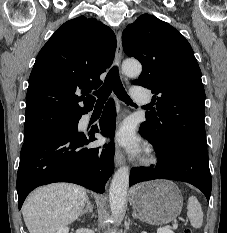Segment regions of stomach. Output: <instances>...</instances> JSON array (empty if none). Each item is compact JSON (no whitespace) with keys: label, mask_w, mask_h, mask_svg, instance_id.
<instances>
[{"label":"stomach","mask_w":227,"mask_h":233,"mask_svg":"<svg viewBox=\"0 0 227 233\" xmlns=\"http://www.w3.org/2000/svg\"><path fill=\"white\" fill-rule=\"evenodd\" d=\"M132 203L141 220L161 225L173 221L181 213L183 197L173 182L157 180L135 186Z\"/></svg>","instance_id":"1"}]
</instances>
